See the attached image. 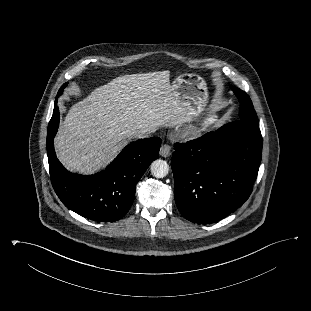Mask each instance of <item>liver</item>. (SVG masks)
I'll use <instances>...</instances> for the list:
<instances>
[{"instance_id":"6515ba94","label":"liver","mask_w":311,"mask_h":311,"mask_svg":"<svg viewBox=\"0 0 311 311\" xmlns=\"http://www.w3.org/2000/svg\"><path fill=\"white\" fill-rule=\"evenodd\" d=\"M193 114L171 85L170 71L119 76L70 108L55 149L68 170L91 174L111 161L133 133L181 125Z\"/></svg>"}]
</instances>
